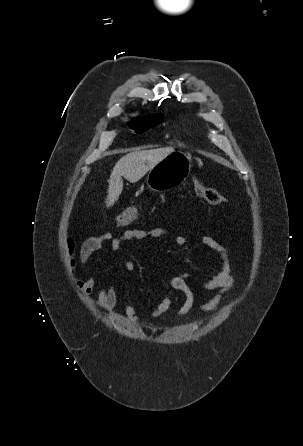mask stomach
I'll list each match as a JSON object with an SVG mask.
<instances>
[{
  "label": "stomach",
  "mask_w": 303,
  "mask_h": 446,
  "mask_svg": "<svg viewBox=\"0 0 303 446\" xmlns=\"http://www.w3.org/2000/svg\"><path fill=\"white\" fill-rule=\"evenodd\" d=\"M191 171V158L182 152H173L157 163L147 175L148 187L157 192L170 190L182 184Z\"/></svg>",
  "instance_id": "1"
}]
</instances>
